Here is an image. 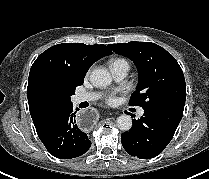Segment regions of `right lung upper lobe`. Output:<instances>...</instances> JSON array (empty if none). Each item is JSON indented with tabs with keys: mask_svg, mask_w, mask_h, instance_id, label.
<instances>
[{
	"mask_svg": "<svg viewBox=\"0 0 209 179\" xmlns=\"http://www.w3.org/2000/svg\"><path fill=\"white\" fill-rule=\"evenodd\" d=\"M111 53L105 45L83 43L58 44L44 51L33 63L28 79L27 98L34 125L57 110L45 105V90L74 91L83 84L90 66Z\"/></svg>",
	"mask_w": 209,
	"mask_h": 179,
	"instance_id": "1",
	"label": "right lung upper lobe"
}]
</instances>
